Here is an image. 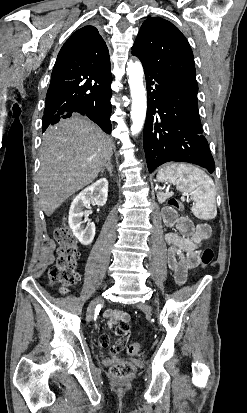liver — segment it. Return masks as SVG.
Returning <instances> with one entry per match:
<instances>
[{
    "mask_svg": "<svg viewBox=\"0 0 247 413\" xmlns=\"http://www.w3.org/2000/svg\"><path fill=\"white\" fill-rule=\"evenodd\" d=\"M113 140L100 126L73 114L50 124L40 148V200L50 217L68 196L93 182L110 160Z\"/></svg>",
    "mask_w": 247,
    "mask_h": 413,
    "instance_id": "1",
    "label": "liver"
}]
</instances>
